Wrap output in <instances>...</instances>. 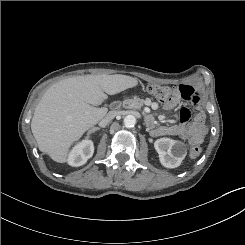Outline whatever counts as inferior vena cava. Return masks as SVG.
Instances as JSON below:
<instances>
[{
    "label": "inferior vena cava",
    "instance_id": "1",
    "mask_svg": "<svg viewBox=\"0 0 245 245\" xmlns=\"http://www.w3.org/2000/svg\"><path fill=\"white\" fill-rule=\"evenodd\" d=\"M116 116V113L114 112H110L108 113L100 122L101 126H105L106 124H108L112 119H114V117Z\"/></svg>",
    "mask_w": 245,
    "mask_h": 245
}]
</instances>
